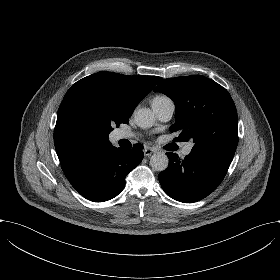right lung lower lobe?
<instances>
[{
  "mask_svg": "<svg viewBox=\"0 0 280 280\" xmlns=\"http://www.w3.org/2000/svg\"><path fill=\"white\" fill-rule=\"evenodd\" d=\"M143 156L141 145L129 150L110 145L89 152L63 172L80 195L93 202H103L123 190L126 176Z\"/></svg>",
  "mask_w": 280,
  "mask_h": 280,
  "instance_id": "obj_1",
  "label": "right lung lower lobe"
}]
</instances>
